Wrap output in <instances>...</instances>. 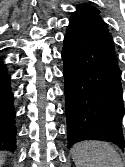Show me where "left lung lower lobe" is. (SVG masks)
Instances as JSON below:
<instances>
[{
  "label": "left lung lower lobe",
  "instance_id": "0a47b994",
  "mask_svg": "<svg viewBox=\"0 0 125 167\" xmlns=\"http://www.w3.org/2000/svg\"><path fill=\"white\" fill-rule=\"evenodd\" d=\"M62 58L68 148L101 140L123 149L121 70L113 38L99 15L70 19Z\"/></svg>",
  "mask_w": 125,
  "mask_h": 167
}]
</instances>
